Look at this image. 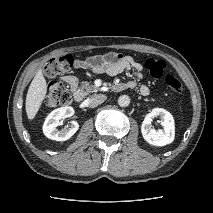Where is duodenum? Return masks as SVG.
I'll list each match as a JSON object with an SVG mask.
<instances>
[{"label": "duodenum", "mask_w": 213, "mask_h": 213, "mask_svg": "<svg viewBox=\"0 0 213 213\" xmlns=\"http://www.w3.org/2000/svg\"><path fill=\"white\" fill-rule=\"evenodd\" d=\"M129 88H131V86L127 83H118L114 86V89L116 91H123V90L129 89ZM73 97L76 102L80 103L84 100L85 94L82 90L78 89L75 92H73Z\"/></svg>", "instance_id": "410a0bca"}]
</instances>
